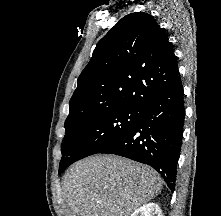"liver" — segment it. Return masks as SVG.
Wrapping results in <instances>:
<instances>
[{"label": "liver", "instance_id": "obj_1", "mask_svg": "<svg viewBox=\"0 0 221 216\" xmlns=\"http://www.w3.org/2000/svg\"><path fill=\"white\" fill-rule=\"evenodd\" d=\"M151 167L114 155H96L73 164L64 174L65 216H130L162 189Z\"/></svg>", "mask_w": 221, "mask_h": 216}]
</instances>
